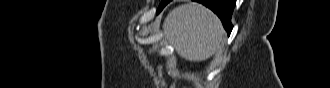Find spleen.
Listing matches in <instances>:
<instances>
[{
    "label": "spleen",
    "instance_id": "1",
    "mask_svg": "<svg viewBox=\"0 0 330 88\" xmlns=\"http://www.w3.org/2000/svg\"><path fill=\"white\" fill-rule=\"evenodd\" d=\"M165 40L189 61L209 59L223 47L224 30L218 17L198 3L173 9L163 23Z\"/></svg>",
    "mask_w": 330,
    "mask_h": 88
}]
</instances>
